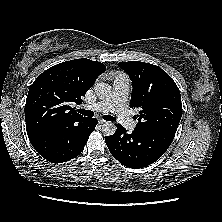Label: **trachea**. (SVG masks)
Returning <instances> with one entry per match:
<instances>
[{
	"label": "trachea",
	"instance_id": "1",
	"mask_svg": "<svg viewBox=\"0 0 222 222\" xmlns=\"http://www.w3.org/2000/svg\"><path fill=\"white\" fill-rule=\"evenodd\" d=\"M78 112L84 116L92 117L94 116V112L91 110L79 109ZM103 119L106 121L114 122L116 119L111 115H104Z\"/></svg>",
	"mask_w": 222,
	"mask_h": 222
}]
</instances>
